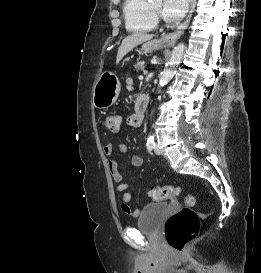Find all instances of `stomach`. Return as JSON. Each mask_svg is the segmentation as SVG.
Here are the masks:
<instances>
[{
    "label": "stomach",
    "instance_id": "stomach-1",
    "mask_svg": "<svg viewBox=\"0 0 261 273\" xmlns=\"http://www.w3.org/2000/svg\"><path fill=\"white\" fill-rule=\"evenodd\" d=\"M165 44L161 40L147 41L142 45L144 52L159 49ZM121 85L118 77L110 71L103 72L93 87V105L98 109H107L118 98Z\"/></svg>",
    "mask_w": 261,
    "mask_h": 273
}]
</instances>
